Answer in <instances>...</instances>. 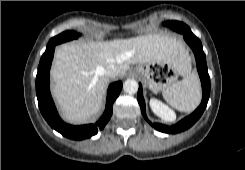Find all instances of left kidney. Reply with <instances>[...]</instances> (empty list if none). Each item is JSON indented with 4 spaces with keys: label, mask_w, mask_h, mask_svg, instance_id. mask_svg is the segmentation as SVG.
Listing matches in <instances>:
<instances>
[{
    "label": "left kidney",
    "mask_w": 245,
    "mask_h": 170,
    "mask_svg": "<svg viewBox=\"0 0 245 170\" xmlns=\"http://www.w3.org/2000/svg\"><path fill=\"white\" fill-rule=\"evenodd\" d=\"M150 107L154 114L159 116L162 120L172 122L175 120V113L168 108L165 104L157 99L150 100Z\"/></svg>",
    "instance_id": "5707ae66"
}]
</instances>
